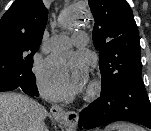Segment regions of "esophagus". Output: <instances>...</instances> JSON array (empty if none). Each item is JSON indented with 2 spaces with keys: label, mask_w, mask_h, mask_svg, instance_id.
Segmentation results:
<instances>
[{
  "label": "esophagus",
  "mask_w": 151,
  "mask_h": 131,
  "mask_svg": "<svg viewBox=\"0 0 151 131\" xmlns=\"http://www.w3.org/2000/svg\"><path fill=\"white\" fill-rule=\"evenodd\" d=\"M50 113L53 118L65 125H70L75 127L78 123V115L75 112L65 111L59 105H52L50 108Z\"/></svg>",
  "instance_id": "obj_1"
}]
</instances>
